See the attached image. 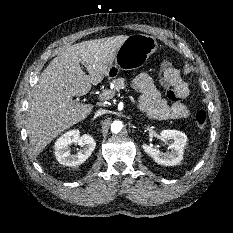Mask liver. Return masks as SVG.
<instances>
[{"mask_svg":"<svg viewBox=\"0 0 233 233\" xmlns=\"http://www.w3.org/2000/svg\"><path fill=\"white\" fill-rule=\"evenodd\" d=\"M127 37L120 35L71 45L44 69L29 103L26 124L34 157L58 135L92 112V104L77 102L73 97L87 94L92 85H97L108 75L116 53Z\"/></svg>","mask_w":233,"mask_h":233,"instance_id":"1","label":"liver"}]
</instances>
